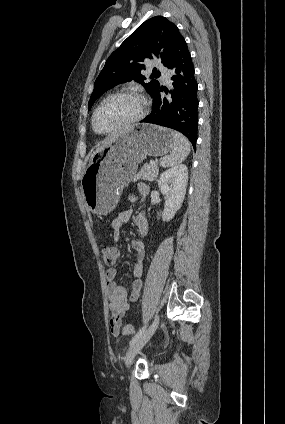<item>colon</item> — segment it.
I'll list each match as a JSON object with an SVG mask.
<instances>
[{
  "label": "colon",
  "instance_id": "1",
  "mask_svg": "<svg viewBox=\"0 0 285 424\" xmlns=\"http://www.w3.org/2000/svg\"><path fill=\"white\" fill-rule=\"evenodd\" d=\"M100 254L102 256L103 262L106 265H112L116 262L118 256H119V252L117 250V248L113 247V246H109V245H105L102 244L99 248ZM113 323L117 324L118 323V317L115 316L113 317ZM122 331L127 332L132 334L133 333V329L129 324H125L121 326Z\"/></svg>",
  "mask_w": 285,
  "mask_h": 424
}]
</instances>
